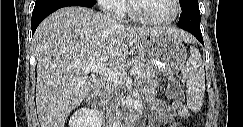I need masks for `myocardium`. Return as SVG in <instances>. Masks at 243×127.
Returning a JSON list of instances; mask_svg holds the SVG:
<instances>
[{
  "mask_svg": "<svg viewBox=\"0 0 243 127\" xmlns=\"http://www.w3.org/2000/svg\"><path fill=\"white\" fill-rule=\"evenodd\" d=\"M136 2L137 0H129L128 2V9L130 16L133 20L139 23L148 24V25H154V26H165L173 23L179 16L181 7H180V1L179 0H171L173 5V14L166 18V19H149L146 17H143L140 15L136 9Z\"/></svg>",
  "mask_w": 243,
  "mask_h": 127,
  "instance_id": "f54148a6",
  "label": "myocardium"
}]
</instances>
